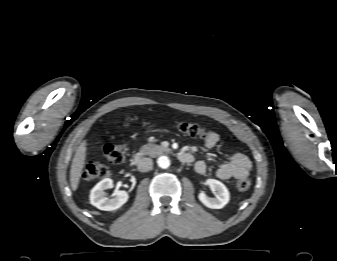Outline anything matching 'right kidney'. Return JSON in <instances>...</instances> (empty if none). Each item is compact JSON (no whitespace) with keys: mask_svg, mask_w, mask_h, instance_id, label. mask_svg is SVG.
Returning <instances> with one entry per match:
<instances>
[{"mask_svg":"<svg viewBox=\"0 0 337 261\" xmlns=\"http://www.w3.org/2000/svg\"><path fill=\"white\" fill-rule=\"evenodd\" d=\"M113 187V180L105 178L91 190L90 203L100 210L112 211L120 208L128 200V194L125 191L115 190L112 198L105 196V190Z\"/></svg>","mask_w":337,"mask_h":261,"instance_id":"right-kidney-1","label":"right kidney"}]
</instances>
